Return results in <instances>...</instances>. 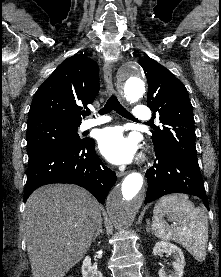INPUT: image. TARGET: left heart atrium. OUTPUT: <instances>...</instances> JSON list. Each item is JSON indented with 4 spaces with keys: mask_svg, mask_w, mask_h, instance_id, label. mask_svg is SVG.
<instances>
[{
    "mask_svg": "<svg viewBox=\"0 0 221 277\" xmlns=\"http://www.w3.org/2000/svg\"><path fill=\"white\" fill-rule=\"evenodd\" d=\"M98 145L103 156L111 163L131 162L138 151L137 139L126 136L120 127H108L99 132Z\"/></svg>",
    "mask_w": 221,
    "mask_h": 277,
    "instance_id": "39dd6f15",
    "label": "left heart atrium"
}]
</instances>
